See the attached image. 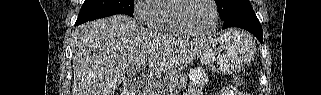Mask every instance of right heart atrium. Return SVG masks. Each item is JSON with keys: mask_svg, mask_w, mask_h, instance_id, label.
<instances>
[{"mask_svg": "<svg viewBox=\"0 0 321 95\" xmlns=\"http://www.w3.org/2000/svg\"><path fill=\"white\" fill-rule=\"evenodd\" d=\"M157 0H138L134 2L133 15L139 24L146 25L153 16Z\"/></svg>", "mask_w": 321, "mask_h": 95, "instance_id": "d8ad5b80", "label": "right heart atrium"}]
</instances>
